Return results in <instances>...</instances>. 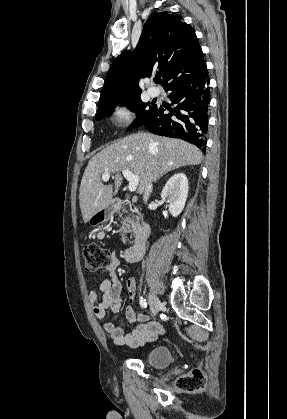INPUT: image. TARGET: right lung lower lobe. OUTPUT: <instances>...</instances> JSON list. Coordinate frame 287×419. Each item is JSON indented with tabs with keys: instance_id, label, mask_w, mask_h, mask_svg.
Here are the masks:
<instances>
[{
	"instance_id": "right-lung-lower-lobe-1",
	"label": "right lung lower lobe",
	"mask_w": 287,
	"mask_h": 419,
	"mask_svg": "<svg viewBox=\"0 0 287 419\" xmlns=\"http://www.w3.org/2000/svg\"><path fill=\"white\" fill-rule=\"evenodd\" d=\"M210 79L207 69L194 77L179 80L164 87L170 91L168 98L174 109L157 106L142 124L151 133L183 139L206 149L208 131V107L210 103ZM168 109L170 113H164Z\"/></svg>"
}]
</instances>
